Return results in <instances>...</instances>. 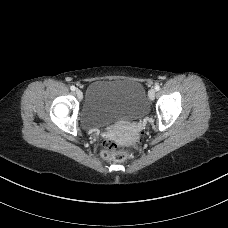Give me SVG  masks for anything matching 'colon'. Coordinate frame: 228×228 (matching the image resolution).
<instances>
[{"label": "colon", "instance_id": "5ec220e1", "mask_svg": "<svg viewBox=\"0 0 228 228\" xmlns=\"http://www.w3.org/2000/svg\"><path fill=\"white\" fill-rule=\"evenodd\" d=\"M134 152L122 148L114 140L108 139L103 143L102 156L106 160L123 161L132 158Z\"/></svg>", "mask_w": 228, "mask_h": 228}]
</instances>
